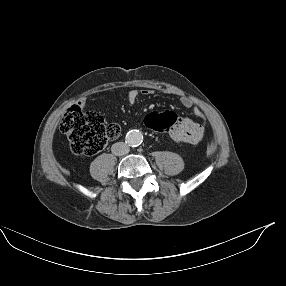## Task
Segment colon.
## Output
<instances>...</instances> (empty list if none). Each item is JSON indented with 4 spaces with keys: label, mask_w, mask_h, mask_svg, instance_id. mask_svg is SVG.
Listing matches in <instances>:
<instances>
[{
    "label": "colon",
    "mask_w": 286,
    "mask_h": 286,
    "mask_svg": "<svg viewBox=\"0 0 286 286\" xmlns=\"http://www.w3.org/2000/svg\"><path fill=\"white\" fill-rule=\"evenodd\" d=\"M181 121L173 111H153L145 119L147 129L153 133L168 131ZM60 130L69 140L71 150L77 155L92 156L100 152L110 140L117 139L121 127L116 123H106L95 112L82 111L77 106L69 107L64 113Z\"/></svg>",
    "instance_id": "obj_1"
}]
</instances>
